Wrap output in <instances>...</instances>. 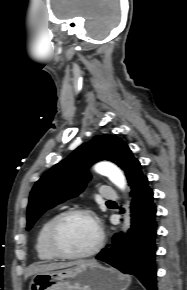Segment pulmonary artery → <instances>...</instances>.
Here are the masks:
<instances>
[{
	"mask_svg": "<svg viewBox=\"0 0 187 290\" xmlns=\"http://www.w3.org/2000/svg\"><path fill=\"white\" fill-rule=\"evenodd\" d=\"M101 197L107 201H113L118 198L117 193L108 187L101 189Z\"/></svg>",
	"mask_w": 187,
	"mask_h": 290,
	"instance_id": "obj_1",
	"label": "pulmonary artery"
}]
</instances>
